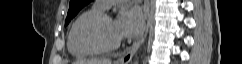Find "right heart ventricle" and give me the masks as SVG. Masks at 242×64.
<instances>
[{"label": "right heart ventricle", "mask_w": 242, "mask_h": 64, "mask_svg": "<svg viewBox=\"0 0 242 64\" xmlns=\"http://www.w3.org/2000/svg\"><path fill=\"white\" fill-rule=\"evenodd\" d=\"M104 10L94 5L82 12L72 23L67 35V48L69 53L76 58H87L96 53L84 47L78 39V30L81 25L91 16L101 14Z\"/></svg>", "instance_id": "1"}]
</instances>
